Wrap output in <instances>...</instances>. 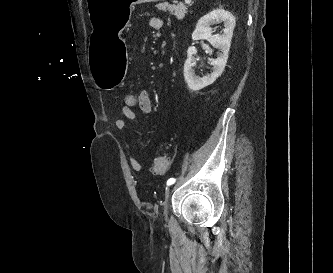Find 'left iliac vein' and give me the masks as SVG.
<instances>
[{
	"mask_svg": "<svg viewBox=\"0 0 333 273\" xmlns=\"http://www.w3.org/2000/svg\"><path fill=\"white\" fill-rule=\"evenodd\" d=\"M170 198V188L165 191L164 204H163V216L165 221H168V201Z\"/></svg>",
	"mask_w": 333,
	"mask_h": 273,
	"instance_id": "left-iliac-vein-1",
	"label": "left iliac vein"
}]
</instances>
